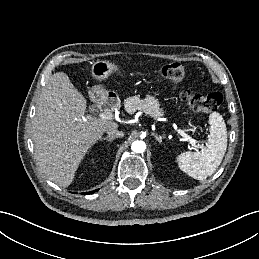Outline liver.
Segmentation results:
<instances>
[{"instance_id":"6515ba94","label":"liver","mask_w":259,"mask_h":259,"mask_svg":"<svg viewBox=\"0 0 259 259\" xmlns=\"http://www.w3.org/2000/svg\"><path fill=\"white\" fill-rule=\"evenodd\" d=\"M87 101L67 74H53L39 97L33 119L32 139L37 164L47 178L68 187L88 150L107 129H117L112 120L85 115Z\"/></svg>"}]
</instances>
